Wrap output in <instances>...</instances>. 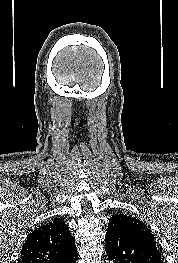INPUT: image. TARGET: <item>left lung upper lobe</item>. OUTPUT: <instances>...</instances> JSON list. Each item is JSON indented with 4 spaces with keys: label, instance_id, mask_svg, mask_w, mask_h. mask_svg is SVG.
I'll list each match as a JSON object with an SVG mask.
<instances>
[{
    "label": "left lung upper lobe",
    "instance_id": "1",
    "mask_svg": "<svg viewBox=\"0 0 178 263\" xmlns=\"http://www.w3.org/2000/svg\"><path fill=\"white\" fill-rule=\"evenodd\" d=\"M112 217H119L121 218L123 221L131 224V225H134V226H137L139 228H142L144 230H146L147 232L149 233H152L148 228L147 226L145 225V223H143L142 221L134 218V217H131L129 215H125V214H121V213H117L115 215H113Z\"/></svg>",
    "mask_w": 178,
    "mask_h": 263
}]
</instances>
